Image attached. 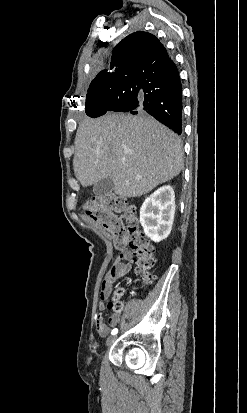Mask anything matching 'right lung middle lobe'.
I'll return each mask as SVG.
<instances>
[{"label":"right lung middle lobe","instance_id":"obj_1","mask_svg":"<svg viewBox=\"0 0 247 413\" xmlns=\"http://www.w3.org/2000/svg\"><path fill=\"white\" fill-rule=\"evenodd\" d=\"M127 90L124 81L109 82L93 80L86 95L85 112L87 115L93 113L107 99L113 96H120Z\"/></svg>","mask_w":247,"mask_h":413}]
</instances>
